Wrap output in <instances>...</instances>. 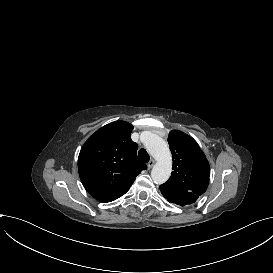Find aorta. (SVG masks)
I'll return each instance as SVG.
<instances>
[{"label":"aorta","mask_w":273,"mask_h":273,"mask_svg":"<svg viewBox=\"0 0 273 273\" xmlns=\"http://www.w3.org/2000/svg\"><path fill=\"white\" fill-rule=\"evenodd\" d=\"M145 147L157 161L151 171L153 181L156 184L165 183L172 170V157L168 144L158 135L149 134L145 140Z\"/></svg>","instance_id":"762f6f07"}]
</instances>
